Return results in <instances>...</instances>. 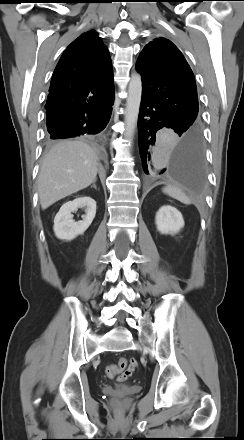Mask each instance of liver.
<instances>
[{
	"mask_svg": "<svg viewBox=\"0 0 244 440\" xmlns=\"http://www.w3.org/2000/svg\"><path fill=\"white\" fill-rule=\"evenodd\" d=\"M98 151L81 140H62L44 157L37 180L43 210L96 181Z\"/></svg>",
	"mask_w": 244,
	"mask_h": 440,
	"instance_id": "obj_1",
	"label": "liver"
}]
</instances>
